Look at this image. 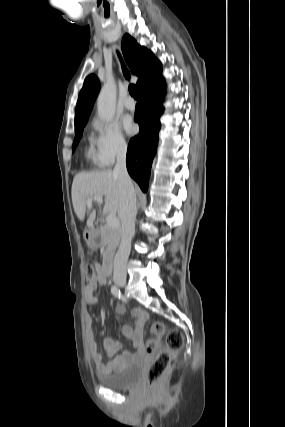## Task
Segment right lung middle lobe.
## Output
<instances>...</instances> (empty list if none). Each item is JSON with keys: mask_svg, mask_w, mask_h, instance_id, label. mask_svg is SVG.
Instances as JSON below:
<instances>
[{"mask_svg": "<svg viewBox=\"0 0 285 427\" xmlns=\"http://www.w3.org/2000/svg\"><path fill=\"white\" fill-rule=\"evenodd\" d=\"M83 127L84 126H81V127L75 129V139H74V143H73V151L75 150L77 144L79 143L80 138L82 137Z\"/></svg>", "mask_w": 285, "mask_h": 427, "instance_id": "right-lung-middle-lobe-1", "label": "right lung middle lobe"}]
</instances>
